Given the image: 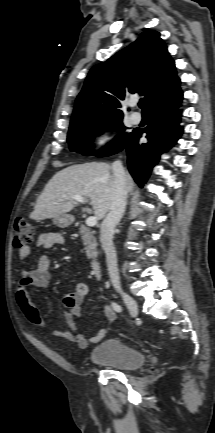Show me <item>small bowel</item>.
I'll list each match as a JSON object with an SVG mask.
<instances>
[{
  "instance_id": "c3829d8e",
  "label": "small bowel",
  "mask_w": 215,
  "mask_h": 433,
  "mask_svg": "<svg viewBox=\"0 0 215 433\" xmlns=\"http://www.w3.org/2000/svg\"><path fill=\"white\" fill-rule=\"evenodd\" d=\"M37 246L50 249L64 243V236L59 232H42L38 235ZM31 254L29 246L19 250L21 259H27ZM51 259L48 255H42L36 266L32 269H22L19 273V282L16 288V301L25 318L34 326L45 327L46 323L39 314L38 309L32 303L29 295V287H47L51 280ZM88 294V284L78 282L75 289L65 294L63 303L66 306L64 320L69 329H54L52 333L66 341L74 342L79 348L85 349L89 343H97L105 336L107 329H100L95 335L87 337L78 331L77 318L81 315V304ZM103 314L108 323L116 318L114 309L109 305L103 306Z\"/></svg>"
}]
</instances>
